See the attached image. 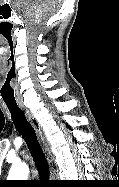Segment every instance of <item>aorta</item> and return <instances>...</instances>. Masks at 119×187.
<instances>
[{"label": "aorta", "instance_id": "762f6f07", "mask_svg": "<svg viewBox=\"0 0 119 187\" xmlns=\"http://www.w3.org/2000/svg\"><path fill=\"white\" fill-rule=\"evenodd\" d=\"M29 167L25 163H14L9 171L10 180H27Z\"/></svg>", "mask_w": 119, "mask_h": 187}]
</instances>
